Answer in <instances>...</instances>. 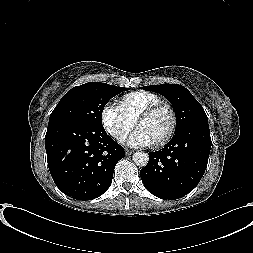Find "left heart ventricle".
Segmentation results:
<instances>
[{"instance_id":"1","label":"left heart ventricle","mask_w":253,"mask_h":253,"mask_svg":"<svg viewBox=\"0 0 253 253\" xmlns=\"http://www.w3.org/2000/svg\"><path fill=\"white\" fill-rule=\"evenodd\" d=\"M170 121L169 112L166 109H162L150 117L141 119L137 127L146 131L156 143L167 132Z\"/></svg>"}]
</instances>
